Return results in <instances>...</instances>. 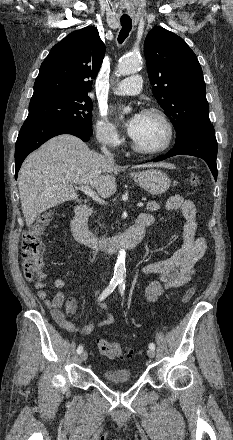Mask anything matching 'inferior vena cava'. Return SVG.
<instances>
[{"label":"inferior vena cava","mask_w":233,"mask_h":440,"mask_svg":"<svg viewBox=\"0 0 233 440\" xmlns=\"http://www.w3.org/2000/svg\"><path fill=\"white\" fill-rule=\"evenodd\" d=\"M101 151L104 153L105 157H107L109 161L114 162L113 154L108 151L105 145L102 146Z\"/></svg>","instance_id":"1"}]
</instances>
